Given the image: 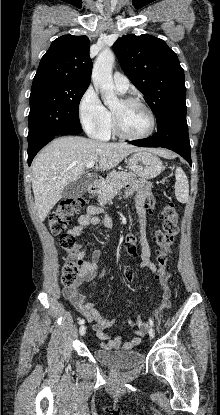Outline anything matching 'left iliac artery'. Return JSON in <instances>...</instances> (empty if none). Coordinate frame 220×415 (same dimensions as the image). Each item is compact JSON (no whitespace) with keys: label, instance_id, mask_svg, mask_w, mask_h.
<instances>
[{"label":"left iliac artery","instance_id":"left-iliac-artery-1","mask_svg":"<svg viewBox=\"0 0 220 415\" xmlns=\"http://www.w3.org/2000/svg\"><path fill=\"white\" fill-rule=\"evenodd\" d=\"M149 323H150V326H154V322L151 318L149 319Z\"/></svg>","mask_w":220,"mask_h":415}]
</instances>
